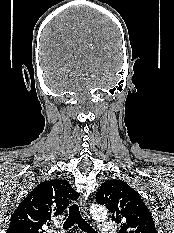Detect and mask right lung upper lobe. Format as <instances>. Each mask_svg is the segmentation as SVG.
Listing matches in <instances>:
<instances>
[{
	"instance_id": "1",
	"label": "right lung upper lobe",
	"mask_w": 174,
	"mask_h": 233,
	"mask_svg": "<svg viewBox=\"0 0 174 233\" xmlns=\"http://www.w3.org/2000/svg\"><path fill=\"white\" fill-rule=\"evenodd\" d=\"M79 194L65 180L45 181L35 187L11 217L7 233H43L42 226L64 212Z\"/></svg>"
}]
</instances>
